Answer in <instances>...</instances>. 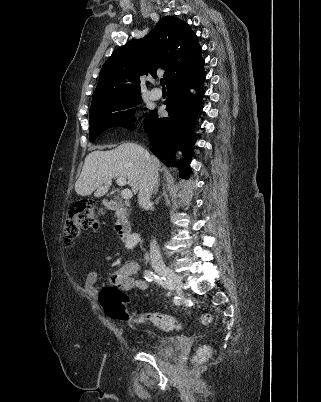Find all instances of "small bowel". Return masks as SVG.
I'll list each match as a JSON object with an SVG mask.
<instances>
[{
  "label": "small bowel",
  "instance_id": "1",
  "mask_svg": "<svg viewBox=\"0 0 321 402\" xmlns=\"http://www.w3.org/2000/svg\"><path fill=\"white\" fill-rule=\"evenodd\" d=\"M139 269L140 266L136 262L125 263L113 272L112 280L119 283L125 290H145L147 288V283L138 278ZM96 281L97 274L95 272H91L86 277L85 285L88 288H93ZM128 325L133 329L135 328V325L131 322Z\"/></svg>",
  "mask_w": 321,
  "mask_h": 402
}]
</instances>
